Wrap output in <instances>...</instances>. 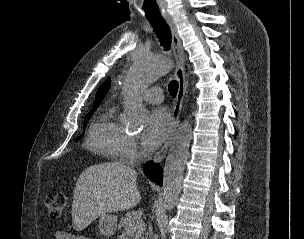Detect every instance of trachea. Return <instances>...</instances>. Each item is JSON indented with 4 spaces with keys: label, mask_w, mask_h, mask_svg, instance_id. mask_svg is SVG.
Wrapping results in <instances>:
<instances>
[{
    "label": "trachea",
    "mask_w": 304,
    "mask_h": 239,
    "mask_svg": "<svg viewBox=\"0 0 304 239\" xmlns=\"http://www.w3.org/2000/svg\"><path fill=\"white\" fill-rule=\"evenodd\" d=\"M147 7V19L153 26V29L163 46L164 50L168 51L171 47V32L167 23L164 21L162 13L159 12V2L156 0H145ZM170 95L175 98L178 91V81L173 80L168 85Z\"/></svg>",
    "instance_id": "trachea-1"
}]
</instances>
